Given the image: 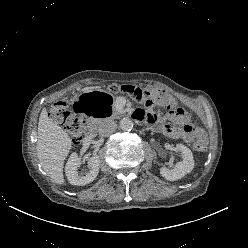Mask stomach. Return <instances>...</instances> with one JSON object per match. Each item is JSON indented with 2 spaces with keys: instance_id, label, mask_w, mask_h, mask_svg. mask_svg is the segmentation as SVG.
Returning a JSON list of instances; mask_svg holds the SVG:
<instances>
[{
  "instance_id": "obj_1",
  "label": "stomach",
  "mask_w": 248,
  "mask_h": 248,
  "mask_svg": "<svg viewBox=\"0 0 248 248\" xmlns=\"http://www.w3.org/2000/svg\"><path fill=\"white\" fill-rule=\"evenodd\" d=\"M73 110L81 118L91 115L105 120L111 116L114 110V101L107 92L97 88H88L75 95Z\"/></svg>"
}]
</instances>
